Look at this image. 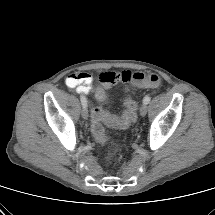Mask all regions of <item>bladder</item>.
Masks as SVG:
<instances>
[{
	"label": "bladder",
	"instance_id": "1",
	"mask_svg": "<svg viewBox=\"0 0 215 215\" xmlns=\"http://www.w3.org/2000/svg\"><path fill=\"white\" fill-rule=\"evenodd\" d=\"M108 101H109V99H108L107 95L102 92L99 97V102L101 104H106V103H108Z\"/></svg>",
	"mask_w": 215,
	"mask_h": 215
}]
</instances>
